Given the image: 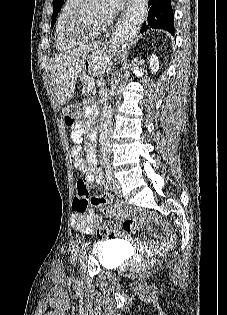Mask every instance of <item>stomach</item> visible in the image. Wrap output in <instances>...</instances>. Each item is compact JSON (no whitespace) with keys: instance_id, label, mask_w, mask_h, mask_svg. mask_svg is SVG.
<instances>
[{"instance_id":"stomach-1","label":"stomach","mask_w":227,"mask_h":315,"mask_svg":"<svg viewBox=\"0 0 227 315\" xmlns=\"http://www.w3.org/2000/svg\"><path fill=\"white\" fill-rule=\"evenodd\" d=\"M94 66H93V61H92V56L89 55L88 60L86 61L85 68L83 70L82 76L83 80L79 82V85L83 87V89H86V82H93L94 77Z\"/></svg>"}]
</instances>
